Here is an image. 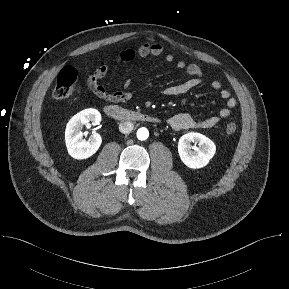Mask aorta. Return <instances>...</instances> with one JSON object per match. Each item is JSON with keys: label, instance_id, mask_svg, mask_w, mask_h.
I'll list each match as a JSON object with an SVG mask.
<instances>
[{"label": "aorta", "instance_id": "obj_1", "mask_svg": "<svg viewBox=\"0 0 289 289\" xmlns=\"http://www.w3.org/2000/svg\"><path fill=\"white\" fill-rule=\"evenodd\" d=\"M149 137V131L146 128H139L137 130V138L139 140H146Z\"/></svg>", "mask_w": 289, "mask_h": 289}]
</instances>
